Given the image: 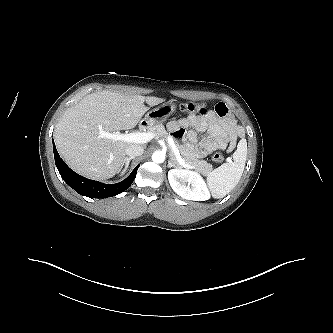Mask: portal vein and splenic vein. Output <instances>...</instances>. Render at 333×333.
I'll return each mask as SVG.
<instances>
[{
	"instance_id": "obj_1",
	"label": "portal vein and splenic vein",
	"mask_w": 333,
	"mask_h": 333,
	"mask_svg": "<svg viewBox=\"0 0 333 333\" xmlns=\"http://www.w3.org/2000/svg\"><path fill=\"white\" fill-rule=\"evenodd\" d=\"M101 137L112 139L113 141H125L130 143L144 144L150 142L153 138H156V134L152 132H133V133H111L108 131H101ZM169 146H171L174 155L176 156L177 162L183 167H187L185 161L181 158L178 148L176 147L174 140L171 137L167 138ZM227 161H231L228 158Z\"/></svg>"
}]
</instances>
